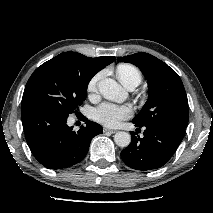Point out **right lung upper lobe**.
Listing matches in <instances>:
<instances>
[{
  "label": "right lung upper lobe",
  "instance_id": "right-lung-upper-lobe-1",
  "mask_svg": "<svg viewBox=\"0 0 213 213\" xmlns=\"http://www.w3.org/2000/svg\"><path fill=\"white\" fill-rule=\"evenodd\" d=\"M56 57L82 66L93 76L115 60L113 56L92 58L76 52H64Z\"/></svg>",
  "mask_w": 213,
  "mask_h": 213
}]
</instances>
